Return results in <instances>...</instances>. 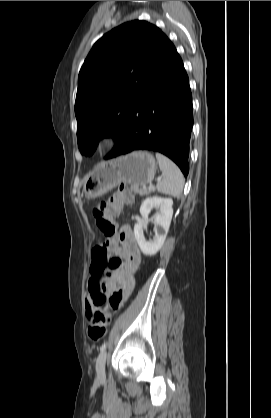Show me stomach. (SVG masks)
<instances>
[{
    "label": "stomach",
    "instance_id": "obj_1",
    "mask_svg": "<svg viewBox=\"0 0 271 418\" xmlns=\"http://www.w3.org/2000/svg\"><path fill=\"white\" fill-rule=\"evenodd\" d=\"M157 164L152 154L137 151L98 164L86 177L84 193L88 198H97L120 183L138 186L150 183L156 173Z\"/></svg>",
    "mask_w": 271,
    "mask_h": 418
}]
</instances>
